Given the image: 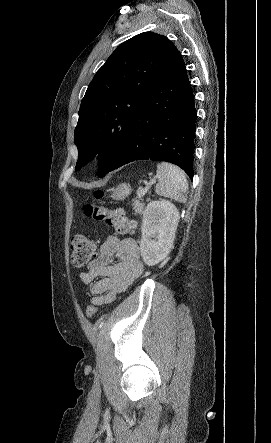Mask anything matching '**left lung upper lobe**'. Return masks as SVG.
<instances>
[{
    "mask_svg": "<svg viewBox=\"0 0 271 443\" xmlns=\"http://www.w3.org/2000/svg\"><path fill=\"white\" fill-rule=\"evenodd\" d=\"M176 51L165 36L144 32L110 55L81 102L74 132L76 171L99 153L98 176L109 172L136 116L146 105L150 84Z\"/></svg>",
    "mask_w": 271,
    "mask_h": 443,
    "instance_id": "5c2ea615",
    "label": "left lung upper lobe"
}]
</instances>
